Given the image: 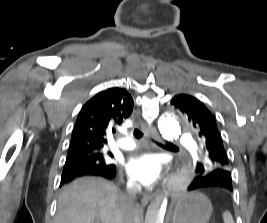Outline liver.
Here are the masks:
<instances>
[{"mask_svg":"<svg viewBox=\"0 0 267 223\" xmlns=\"http://www.w3.org/2000/svg\"><path fill=\"white\" fill-rule=\"evenodd\" d=\"M124 208V194L113 183L84 177L62 188L54 223H123ZM141 215L135 207V223Z\"/></svg>","mask_w":267,"mask_h":223,"instance_id":"liver-1","label":"liver"}]
</instances>
